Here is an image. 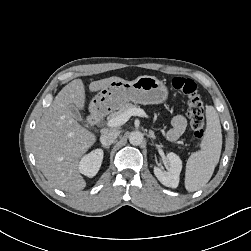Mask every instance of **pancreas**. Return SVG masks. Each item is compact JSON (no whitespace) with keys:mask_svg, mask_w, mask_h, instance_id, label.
<instances>
[{"mask_svg":"<svg viewBox=\"0 0 251 251\" xmlns=\"http://www.w3.org/2000/svg\"><path fill=\"white\" fill-rule=\"evenodd\" d=\"M132 108H139V107H137L136 105H133L132 103L127 102V103L121 105L119 108H117L116 111L111 112L110 115L108 116V118L109 119L114 118L117 115H120L121 113H123L129 109H132Z\"/></svg>","mask_w":251,"mask_h":251,"instance_id":"1","label":"pancreas"}]
</instances>
